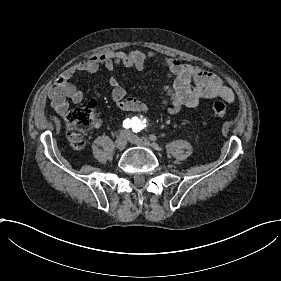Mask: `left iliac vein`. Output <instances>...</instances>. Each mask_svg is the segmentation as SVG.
<instances>
[{
    "instance_id": "4c4485c4",
    "label": "left iliac vein",
    "mask_w": 281,
    "mask_h": 281,
    "mask_svg": "<svg viewBox=\"0 0 281 281\" xmlns=\"http://www.w3.org/2000/svg\"><path fill=\"white\" fill-rule=\"evenodd\" d=\"M125 135H126L125 137L128 138V142H129L130 144L137 145L138 147H141V146L150 147V146H149V142H147V141H142L141 139H138V138L136 137V135L131 134V132H129V131L126 132Z\"/></svg>"
}]
</instances>
